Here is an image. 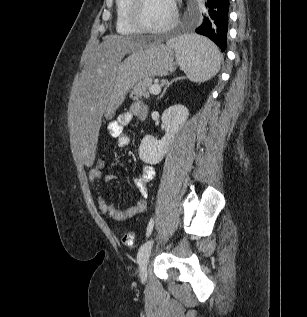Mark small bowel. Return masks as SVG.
<instances>
[{"label":"small bowel","instance_id":"1","mask_svg":"<svg viewBox=\"0 0 307 317\" xmlns=\"http://www.w3.org/2000/svg\"><path fill=\"white\" fill-rule=\"evenodd\" d=\"M147 116V108L140 102H135L131 105L129 112L121 113L116 120L108 124V133L111 137L117 139L119 147H126L130 143V137L124 132V127L129 125L133 118L140 120L145 119ZM155 177V170L152 166H143L140 170L139 176L134 180L136 189L140 194L138 201L126 209H118L114 205L107 202L99 192V184L101 181L111 182L116 176L113 173L103 174L95 168L89 172V180L97 193L98 207L101 213L109 216L111 219L119 222L126 221L127 219L142 213L147 208V185Z\"/></svg>","mask_w":307,"mask_h":317}]
</instances>
